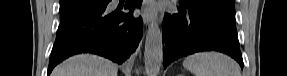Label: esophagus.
Listing matches in <instances>:
<instances>
[{
  "instance_id": "34e87169",
  "label": "esophagus",
  "mask_w": 287,
  "mask_h": 76,
  "mask_svg": "<svg viewBox=\"0 0 287 76\" xmlns=\"http://www.w3.org/2000/svg\"><path fill=\"white\" fill-rule=\"evenodd\" d=\"M149 1H145V6L143 9V14H142V18L144 23L148 24L149 22H151V20H153L154 15L151 13L149 6H148Z\"/></svg>"
}]
</instances>
